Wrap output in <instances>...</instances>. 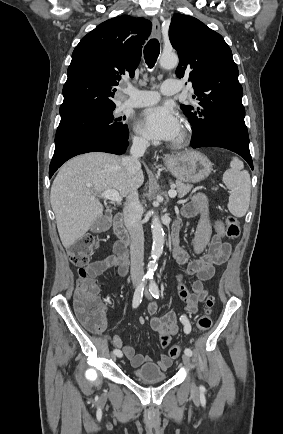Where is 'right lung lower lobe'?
<instances>
[{
  "label": "right lung lower lobe",
  "mask_w": 283,
  "mask_h": 434,
  "mask_svg": "<svg viewBox=\"0 0 283 434\" xmlns=\"http://www.w3.org/2000/svg\"><path fill=\"white\" fill-rule=\"evenodd\" d=\"M128 144V137L106 132L74 137L55 147L49 168V178L64 162L76 155L87 152H107L120 155L125 153Z\"/></svg>",
  "instance_id": "1"
}]
</instances>
